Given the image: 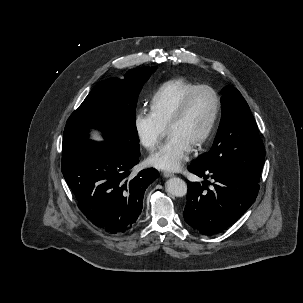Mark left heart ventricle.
<instances>
[{
	"label": "left heart ventricle",
	"instance_id": "left-heart-ventricle-1",
	"mask_svg": "<svg viewBox=\"0 0 303 303\" xmlns=\"http://www.w3.org/2000/svg\"><path fill=\"white\" fill-rule=\"evenodd\" d=\"M215 109V98L208 90L195 94L186 114L168 128L169 134L177 133L192 146L203 135Z\"/></svg>",
	"mask_w": 303,
	"mask_h": 303
}]
</instances>
